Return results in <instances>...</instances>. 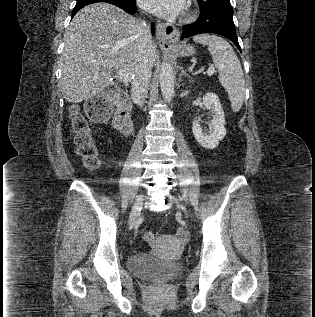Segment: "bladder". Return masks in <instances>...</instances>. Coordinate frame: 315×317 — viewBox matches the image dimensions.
Listing matches in <instances>:
<instances>
[{
	"label": "bladder",
	"mask_w": 315,
	"mask_h": 317,
	"mask_svg": "<svg viewBox=\"0 0 315 317\" xmlns=\"http://www.w3.org/2000/svg\"><path fill=\"white\" fill-rule=\"evenodd\" d=\"M129 269L146 279H171L184 269L182 262H165L148 254H134L128 260Z\"/></svg>",
	"instance_id": "31cf9c89"
}]
</instances>
